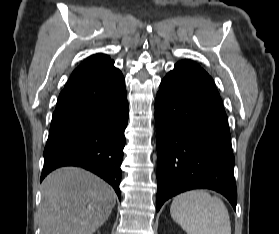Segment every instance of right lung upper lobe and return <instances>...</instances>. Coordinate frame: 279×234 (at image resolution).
I'll list each match as a JSON object with an SVG mask.
<instances>
[{
    "label": "right lung upper lobe",
    "instance_id": "obj_1",
    "mask_svg": "<svg viewBox=\"0 0 279 234\" xmlns=\"http://www.w3.org/2000/svg\"><path fill=\"white\" fill-rule=\"evenodd\" d=\"M113 63L114 61L106 54L98 53L91 55L73 71L67 84L93 76Z\"/></svg>",
    "mask_w": 279,
    "mask_h": 234
}]
</instances>
